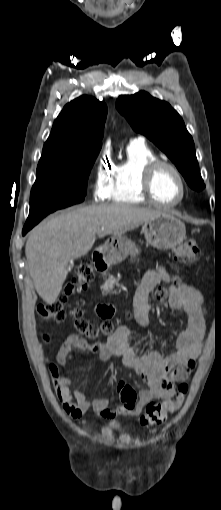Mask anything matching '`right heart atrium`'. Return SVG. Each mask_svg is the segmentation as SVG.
Segmentation results:
<instances>
[{
	"mask_svg": "<svg viewBox=\"0 0 221 510\" xmlns=\"http://www.w3.org/2000/svg\"><path fill=\"white\" fill-rule=\"evenodd\" d=\"M112 182V167L105 154H102L98 160L94 183L93 194L97 201H105L109 198Z\"/></svg>",
	"mask_w": 221,
	"mask_h": 510,
	"instance_id": "d8ad5b80",
	"label": "right heart atrium"
}]
</instances>
